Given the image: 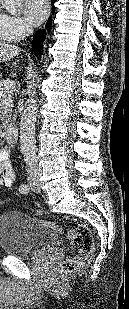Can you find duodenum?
<instances>
[{"instance_id":"1","label":"duodenum","mask_w":129,"mask_h":309,"mask_svg":"<svg viewBox=\"0 0 129 309\" xmlns=\"http://www.w3.org/2000/svg\"><path fill=\"white\" fill-rule=\"evenodd\" d=\"M4 138L9 145H14L18 139V127L16 124L10 123L6 126Z\"/></svg>"}]
</instances>
